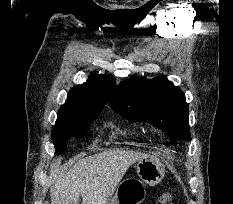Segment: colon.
Instances as JSON below:
<instances>
[{
  "label": "colon",
  "instance_id": "1",
  "mask_svg": "<svg viewBox=\"0 0 233 204\" xmlns=\"http://www.w3.org/2000/svg\"><path fill=\"white\" fill-rule=\"evenodd\" d=\"M157 204H172V195L169 190H165L160 194Z\"/></svg>",
  "mask_w": 233,
  "mask_h": 204
}]
</instances>
